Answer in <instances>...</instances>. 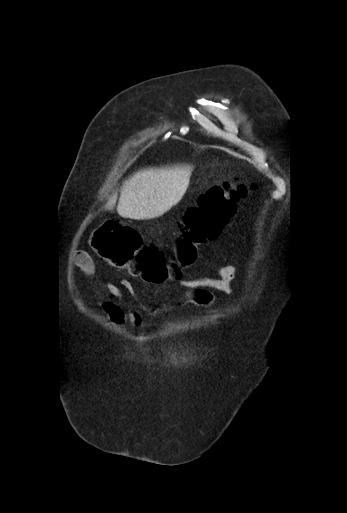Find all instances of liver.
Wrapping results in <instances>:
<instances>
[{"label":"liver","mask_w":347,"mask_h":513,"mask_svg":"<svg viewBox=\"0 0 347 513\" xmlns=\"http://www.w3.org/2000/svg\"><path fill=\"white\" fill-rule=\"evenodd\" d=\"M192 170L190 166H175L137 172L121 188L118 214L123 218H142L164 213L185 193ZM116 200L115 193L106 208L111 209Z\"/></svg>","instance_id":"obj_1"}]
</instances>
